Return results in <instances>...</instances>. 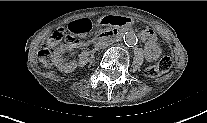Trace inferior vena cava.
<instances>
[{
    "instance_id": "inferior-vena-cava-1",
    "label": "inferior vena cava",
    "mask_w": 207,
    "mask_h": 123,
    "mask_svg": "<svg viewBox=\"0 0 207 123\" xmlns=\"http://www.w3.org/2000/svg\"><path fill=\"white\" fill-rule=\"evenodd\" d=\"M108 46H109V43L106 41L98 42L96 45L98 49H104V48H107Z\"/></svg>"
}]
</instances>
